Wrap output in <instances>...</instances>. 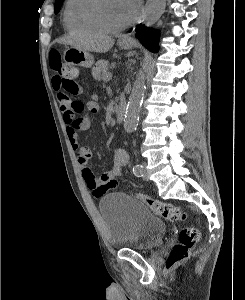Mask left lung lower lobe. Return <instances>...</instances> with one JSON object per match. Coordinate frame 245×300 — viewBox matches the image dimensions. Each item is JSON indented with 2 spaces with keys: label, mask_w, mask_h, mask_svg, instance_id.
I'll list each match as a JSON object with an SVG mask.
<instances>
[{
  "label": "left lung lower lobe",
  "mask_w": 245,
  "mask_h": 300,
  "mask_svg": "<svg viewBox=\"0 0 245 300\" xmlns=\"http://www.w3.org/2000/svg\"><path fill=\"white\" fill-rule=\"evenodd\" d=\"M136 37L140 40V42L148 50H150L154 53H156L158 51V49H159V47H158V39H159L158 31L144 27L140 24L136 28Z\"/></svg>",
  "instance_id": "left-lung-lower-lobe-1"
}]
</instances>
